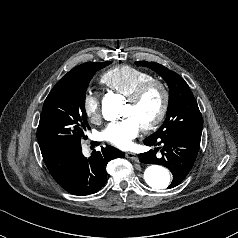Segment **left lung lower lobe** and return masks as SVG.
<instances>
[{
  "label": "left lung lower lobe",
  "instance_id": "0a47b994",
  "mask_svg": "<svg viewBox=\"0 0 238 238\" xmlns=\"http://www.w3.org/2000/svg\"><path fill=\"white\" fill-rule=\"evenodd\" d=\"M201 133L183 131L159 138L147 137L144 140L145 145L160 147L140 154L139 161L167 167L173 175V181L168 188H173L179 185L192 169L200 149ZM158 149H161V157L156 156Z\"/></svg>",
  "mask_w": 238,
  "mask_h": 238
}]
</instances>
